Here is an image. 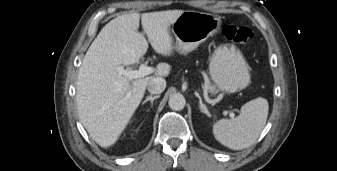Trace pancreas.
Listing matches in <instances>:
<instances>
[{"mask_svg":"<svg viewBox=\"0 0 337 171\" xmlns=\"http://www.w3.org/2000/svg\"><path fill=\"white\" fill-rule=\"evenodd\" d=\"M204 88L212 94H215V93L218 92L217 87L215 85L211 84L208 78L205 79Z\"/></svg>","mask_w":337,"mask_h":171,"instance_id":"obj_1","label":"pancreas"}]
</instances>
